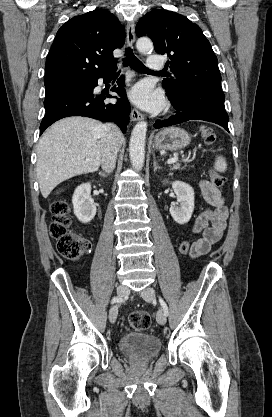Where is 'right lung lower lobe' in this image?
<instances>
[{
    "mask_svg": "<svg viewBox=\"0 0 272 417\" xmlns=\"http://www.w3.org/2000/svg\"><path fill=\"white\" fill-rule=\"evenodd\" d=\"M116 67L102 75L88 79L80 84L55 91L47 96L44 101L46 114L40 125V134L55 121L68 116H86L101 121L115 122L124 133L127 129L130 104L126 98L124 89V77L117 81L118 87L111 90L117 92L123 98L117 103L104 102L111 95H96L94 88L98 85L99 78L109 81Z\"/></svg>",
    "mask_w": 272,
    "mask_h": 417,
    "instance_id": "obj_1",
    "label": "right lung lower lobe"
}]
</instances>
